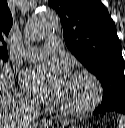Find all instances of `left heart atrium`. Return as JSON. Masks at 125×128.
I'll return each mask as SVG.
<instances>
[{
  "mask_svg": "<svg viewBox=\"0 0 125 128\" xmlns=\"http://www.w3.org/2000/svg\"><path fill=\"white\" fill-rule=\"evenodd\" d=\"M71 77L65 64L53 62L26 69L20 82L23 89L35 99L46 103H61Z\"/></svg>",
  "mask_w": 125,
  "mask_h": 128,
  "instance_id": "39dd6f15",
  "label": "left heart atrium"
}]
</instances>
